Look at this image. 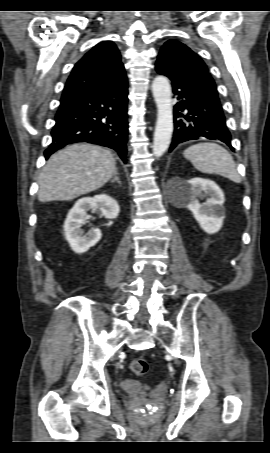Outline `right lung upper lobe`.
<instances>
[{
    "instance_id": "cb5924a9",
    "label": "right lung upper lobe",
    "mask_w": 270,
    "mask_h": 453,
    "mask_svg": "<svg viewBox=\"0 0 270 453\" xmlns=\"http://www.w3.org/2000/svg\"><path fill=\"white\" fill-rule=\"evenodd\" d=\"M125 76L120 52L115 44L111 41L101 42L75 64L61 98L103 91Z\"/></svg>"
}]
</instances>
